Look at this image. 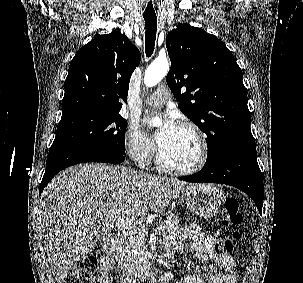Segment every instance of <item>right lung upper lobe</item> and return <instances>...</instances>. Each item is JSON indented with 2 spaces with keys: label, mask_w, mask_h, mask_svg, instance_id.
<instances>
[{
  "label": "right lung upper lobe",
  "mask_w": 303,
  "mask_h": 283,
  "mask_svg": "<svg viewBox=\"0 0 303 283\" xmlns=\"http://www.w3.org/2000/svg\"><path fill=\"white\" fill-rule=\"evenodd\" d=\"M140 52L121 32L100 35L72 59L65 80L62 116L78 112L119 114Z\"/></svg>",
  "instance_id": "cb5924a9"
}]
</instances>
